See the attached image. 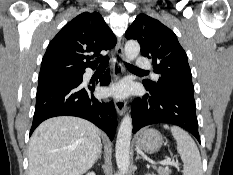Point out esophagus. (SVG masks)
Returning a JSON list of instances; mask_svg holds the SVG:
<instances>
[{
	"mask_svg": "<svg viewBox=\"0 0 233 175\" xmlns=\"http://www.w3.org/2000/svg\"><path fill=\"white\" fill-rule=\"evenodd\" d=\"M123 59H124L123 46H122L121 41L119 40L115 48V55L112 59L114 80H117L123 74L124 68L121 62V60ZM114 104H115L117 113L120 116H122L126 110L125 101L122 99H115Z\"/></svg>",
	"mask_w": 233,
	"mask_h": 175,
	"instance_id": "34e87169",
	"label": "esophagus"
}]
</instances>
